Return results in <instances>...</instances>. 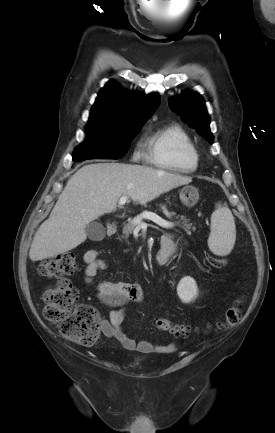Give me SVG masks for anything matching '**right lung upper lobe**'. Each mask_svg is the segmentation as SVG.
<instances>
[{
  "mask_svg": "<svg viewBox=\"0 0 275 433\" xmlns=\"http://www.w3.org/2000/svg\"><path fill=\"white\" fill-rule=\"evenodd\" d=\"M159 102L157 93L142 96L125 91L116 81L110 80L100 90L88 122L112 125L146 122Z\"/></svg>",
  "mask_w": 275,
  "mask_h": 433,
  "instance_id": "right-lung-upper-lobe-1",
  "label": "right lung upper lobe"
}]
</instances>
